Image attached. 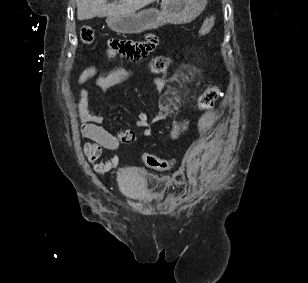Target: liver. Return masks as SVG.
Segmentation results:
<instances>
[{
	"instance_id": "obj_1",
	"label": "liver",
	"mask_w": 308,
	"mask_h": 283,
	"mask_svg": "<svg viewBox=\"0 0 308 283\" xmlns=\"http://www.w3.org/2000/svg\"><path fill=\"white\" fill-rule=\"evenodd\" d=\"M155 1L117 0L114 3H107V0H76L77 18L88 20L93 17L129 15Z\"/></svg>"
}]
</instances>
